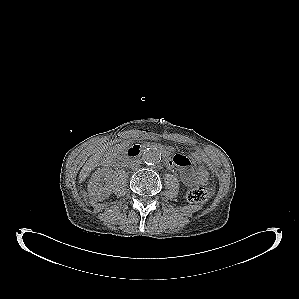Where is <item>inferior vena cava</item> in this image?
Here are the masks:
<instances>
[{
	"mask_svg": "<svg viewBox=\"0 0 299 299\" xmlns=\"http://www.w3.org/2000/svg\"><path fill=\"white\" fill-rule=\"evenodd\" d=\"M140 166V161L134 160L131 162V168L132 169H137Z\"/></svg>",
	"mask_w": 299,
	"mask_h": 299,
	"instance_id": "obj_1",
	"label": "inferior vena cava"
}]
</instances>
